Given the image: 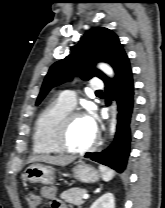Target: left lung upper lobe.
Masks as SVG:
<instances>
[{
    "instance_id": "obj_1",
    "label": "left lung upper lobe",
    "mask_w": 165,
    "mask_h": 208,
    "mask_svg": "<svg viewBox=\"0 0 165 208\" xmlns=\"http://www.w3.org/2000/svg\"><path fill=\"white\" fill-rule=\"evenodd\" d=\"M126 56L118 36L113 31L104 27L89 30L70 55L50 67L36 105L43 100L51 88L72 80L76 75H80L83 80L92 77L106 80L108 77L103 72L93 68L95 63L107 62L116 70Z\"/></svg>"
}]
</instances>
